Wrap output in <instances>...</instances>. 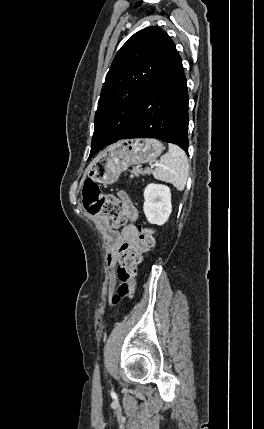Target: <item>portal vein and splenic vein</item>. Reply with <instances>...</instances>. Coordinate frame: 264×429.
Masks as SVG:
<instances>
[{
    "label": "portal vein and splenic vein",
    "instance_id": "1",
    "mask_svg": "<svg viewBox=\"0 0 264 429\" xmlns=\"http://www.w3.org/2000/svg\"><path fill=\"white\" fill-rule=\"evenodd\" d=\"M158 166H159V164H158V163H156V164H151V165H150V168H151V169H153L154 167H158Z\"/></svg>",
    "mask_w": 264,
    "mask_h": 429
}]
</instances>
